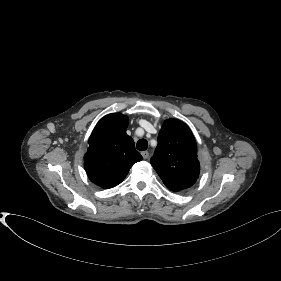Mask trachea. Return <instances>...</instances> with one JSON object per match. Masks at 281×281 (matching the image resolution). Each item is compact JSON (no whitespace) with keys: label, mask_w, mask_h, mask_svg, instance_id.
I'll return each mask as SVG.
<instances>
[{"label":"trachea","mask_w":281,"mask_h":281,"mask_svg":"<svg viewBox=\"0 0 281 281\" xmlns=\"http://www.w3.org/2000/svg\"><path fill=\"white\" fill-rule=\"evenodd\" d=\"M148 148V142L146 139H140L138 142H137V149L139 151H145L146 149Z\"/></svg>","instance_id":"obj_1"}]
</instances>
